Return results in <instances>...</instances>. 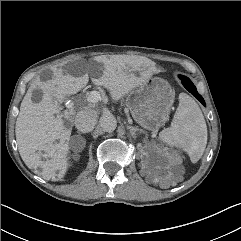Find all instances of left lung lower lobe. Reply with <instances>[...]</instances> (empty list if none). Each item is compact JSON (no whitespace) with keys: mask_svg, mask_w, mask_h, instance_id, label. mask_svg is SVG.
Instances as JSON below:
<instances>
[{"mask_svg":"<svg viewBox=\"0 0 241 241\" xmlns=\"http://www.w3.org/2000/svg\"><path fill=\"white\" fill-rule=\"evenodd\" d=\"M180 78L182 80V84L184 85V87L190 93H192L203 105H205V102H204L202 96L197 92L196 87L194 86V84L186 77L181 76Z\"/></svg>","mask_w":241,"mask_h":241,"instance_id":"left-lung-lower-lobe-1","label":"left lung lower lobe"}]
</instances>
